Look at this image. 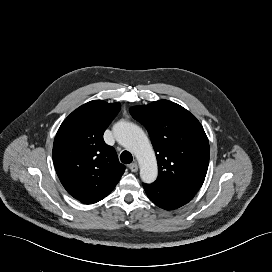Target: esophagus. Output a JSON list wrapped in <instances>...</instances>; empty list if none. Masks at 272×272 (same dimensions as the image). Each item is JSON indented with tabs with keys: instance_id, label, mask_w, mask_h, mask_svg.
Segmentation results:
<instances>
[{
	"instance_id": "34e87169",
	"label": "esophagus",
	"mask_w": 272,
	"mask_h": 272,
	"mask_svg": "<svg viewBox=\"0 0 272 272\" xmlns=\"http://www.w3.org/2000/svg\"><path fill=\"white\" fill-rule=\"evenodd\" d=\"M128 167L132 172H137L138 171V165H137L136 162L131 163Z\"/></svg>"
}]
</instances>
